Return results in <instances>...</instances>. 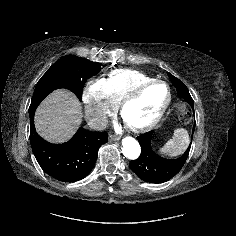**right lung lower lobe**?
I'll list each match as a JSON object with an SVG mask.
<instances>
[{
  "mask_svg": "<svg viewBox=\"0 0 236 236\" xmlns=\"http://www.w3.org/2000/svg\"><path fill=\"white\" fill-rule=\"evenodd\" d=\"M36 107L29 110L30 143L43 171L61 182H75L85 178L92 170L100 146L108 141V134L79 128L71 140L52 144L43 140L34 126Z\"/></svg>",
  "mask_w": 236,
  "mask_h": 236,
  "instance_id": "obj_1",
  "label": "right lung lower lobe"
}]
</instances>
